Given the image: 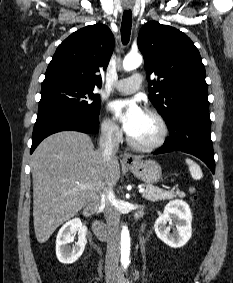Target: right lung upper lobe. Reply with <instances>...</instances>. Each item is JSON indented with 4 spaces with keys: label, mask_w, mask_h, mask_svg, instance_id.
Listing matches in <instances>:
<instances>
[{
    "label": "right lung upper lobe",
    "mask_w": 233,
    "mask_h": 283,
    "mask_svg": "<svg viewBox=\"0 0 233 283\" xmlns=\"http://www.w3.org/2000/svg\"><path fill=\"white\" fill-rule=\"evenodd\" d=\"M113 48L114 37L106 25L79 29L58 46L42 83L62 81L92 89L101 87L98 73L106 70Z\"/></svg>",
    "instance_id": "1"
}]
</instances>
